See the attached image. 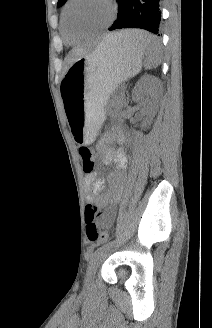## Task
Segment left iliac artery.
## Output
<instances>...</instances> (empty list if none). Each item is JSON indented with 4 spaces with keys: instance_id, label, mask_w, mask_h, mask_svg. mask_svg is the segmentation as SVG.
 <instances>
[{
    "instance_id": "44dca946",
    "label": "left iliac artery",
    "mask_w": 212,
    "mask_h": 328,
    "mask_svg": "<svg viewBox=\"0 0 212 328\" xmlns=\"http://www.w3.org/2000/svg\"><path fill=\"white\" fill-rule=\"evenodd\" d=\"M115 243V241H110L104 245H102L101 247L97 248L90 257V261H89V266L96 260V258L103 253L105 250H107L109 247H111L113 244Z\"/></svg>"
}]
</instances>
